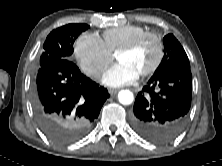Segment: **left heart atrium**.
Instances as JSON below:
<instances>
[{
  "label": "left heart atrium",
  "mask_w": 222,
  "mask_h": 166,
  "mask_svg": "<svg viewBox=\"0 0 222 166\" xmlns=\"http://www.w3.org/2000/svg\"><path fill=\"white\" fill-rule=\"evenodd\" d=\"M139 74L129 65L119 62L112 66L102 77L104 85L120 87L134 82Z\"/></svg>",
  "instance_id": "1"
}]
</instances>
